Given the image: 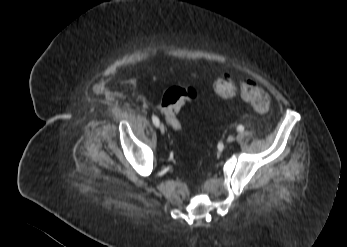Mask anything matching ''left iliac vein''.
Here are the masks:
<instances>
[{
  "instance_id": "left-iliac-vein-1",
  "label": "left iliac vein",
  "mask_w": 347,
  "mask_h": 247,
  "mask_svg": "<svg viewBox=\"0 0 347 247\" xmlns=\"http://www.w3.org/2000/svg\"><path fill=\"white\" fill-rule=\"evenodd\" d=\"M234 140H235V138L232 135L228 136V138H227L228 143H232Z\"/></svg>"
}]
</instances>
